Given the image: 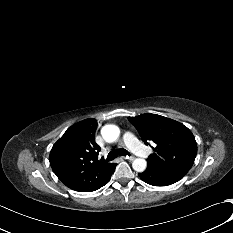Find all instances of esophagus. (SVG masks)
Masks as SVG:
<instances>
[{
	"instance_id": "1",
	"label": "esophagus",
	"mask_w": 233,
	"mask_h": 233,
	"mask_svg": "<svg viewBox=\"0 0 233 233\" xmlns=\"http://www.w3.org/2000/svg\"><path fill=\"white\" fill-rule=\"evenodd\" d=\"M125 159L129 160V161H133L135 159L134 156H126Z\"/></svg>"
}]
</instances>
